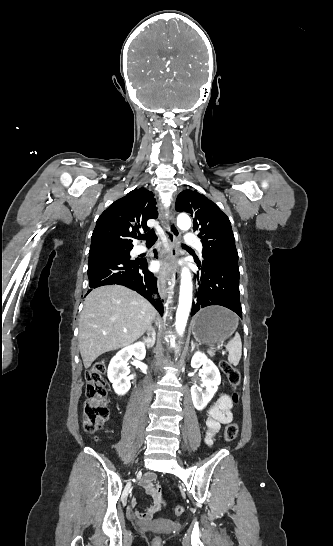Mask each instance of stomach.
<instances>
[{
    "instance_id": "stomach-1",
    "label": "stomach",
    "mask_w": 333,
    "mask_h": 546,
    "mask_svg": "<svg viewBox=\"0 0 333 546\" xmlns=\"http://www.w3.org/2000/svg\"><path fill=\"white\" fill-rule=\"evenodd\" d=\"M237 326L231 311L220 306H210L195 315L192 333L198 343L212 347L228 339Z\"/></svg>"
}]
</instances>
